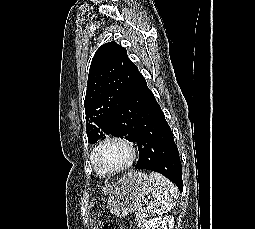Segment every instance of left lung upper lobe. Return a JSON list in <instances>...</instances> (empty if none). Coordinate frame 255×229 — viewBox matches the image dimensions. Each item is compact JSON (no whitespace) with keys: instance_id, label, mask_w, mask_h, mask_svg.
Segmentation results:
<instances>
[{"instance_id":"5c2ea615","label":"left lung upper lobe","mask_w":255,"mask_h":229,"mask_svg":"<svg viewBox=\"0 0 255 229\" xmlns=\"http://www.w3.org/2000/svg\"><path fill=\"white\" fill-rule=\"evenodd\" d=\"M137 70L126 49L116 42L106 43L96 51L84 101L86 130L91 144L107 135L135 141L123 130L125 123L117 118Z\"/></svg>"}]
</instances>
